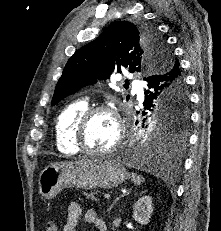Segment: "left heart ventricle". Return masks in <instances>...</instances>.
<instances>
[{
    "mask_svg": "<svg viewBox=\"0 0 221 231\" xmlns=\"http://www.w3.org/2000/svg\"><path fill=\"white\" fill-rule=\"evenodd\" d=\"M117 139V128L113 118L106 113L91 118L86 130L87 147L102 151L110 148Z\"/></svg>",
    "mask_w": 221,
    "mask_h": 231,
    "instance_id": "left-heart-ventricle-1",
    "label": "left heart ventricle"
}]
</instances>
